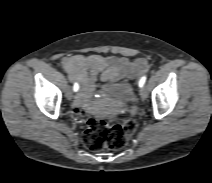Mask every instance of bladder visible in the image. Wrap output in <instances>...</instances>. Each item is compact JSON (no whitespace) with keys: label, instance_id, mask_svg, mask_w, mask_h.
Segmentation results:
<instances>
[{"label":"bladder","instance_id":"bladder-1","mask_svg":"<svg viewBox=\"0 0 212 183\" xmlns=\"http://www.w3.org/2000/svg\"><path fill=\"white\" fill-rule=\"evenodd\" d=\"M105 91L108 95L123 99H130L133 96L132 87L123 83L107 85L105 86Z\"/></svg>","mask_w":212,"mask_h":183}]
</instances>
